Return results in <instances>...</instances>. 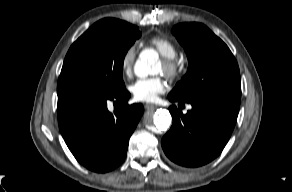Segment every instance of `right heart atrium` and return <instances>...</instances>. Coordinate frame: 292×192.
<instances>
[{
    "mask_svg": "<svg viewBox=\"0 0 292 192\" xmlns=\"http://www.w3.org/2000/svg\"><path fill=\"white\" fill-rule=\"evenodd\" d=\"M136 52L134 46L128 47L122 54L120 60V66L122 72L129 76L132 73L134 62H135Z\"/></svg>",
    "mask_w": 292,
    "mask_h": 192,
    "instance_id": "obj_1",
    "label": "right heart atrium"
}]
</instances>
